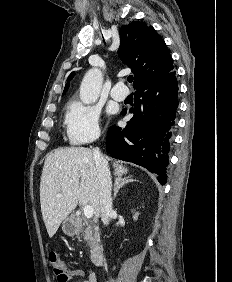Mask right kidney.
I'll return each instance as SVG.
<instances>
[{
  "label": "right kidney",
  "instance_id": "obj_1",
  "mask_svg": "<svg viewBox=\"0 0 232 282\" xmlns=\"http://www.w3.org/2000/svg\"><path fill=\"white\" fill-rule=\"evenodd\" d=\"M138 213H136L134 216H133V218H134V220H137V218H138Z\"/></svg>",
  "mask_w": 232,
  "mask_h": 282
}]
</instances>
